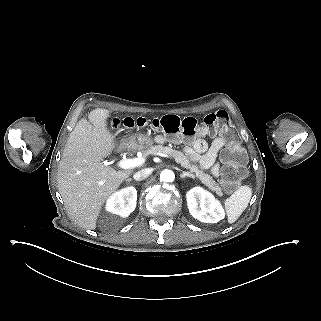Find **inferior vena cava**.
Wrapping results in <instances>:
<instances>
[{
	"instance_id": "602c4592",
	"label": "inferior vena cava",
	"mask_w": 321,
	"mask_h": 321,
	"mask_svg": "<svg viewBox=\"0 0 321 321\" xmlns=\"http://www.w3.org/2000/svg\"><path fill=\"white\" fill-rule=\"evenodd\" d=\"M151 174H152L151 168H144V169L140 170L139 172H136L133 175V178L136 181H142V180L148 178Z\"/></svg>"
}]
</instances>
